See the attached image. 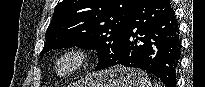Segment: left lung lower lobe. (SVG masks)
I'll return each mask as SVG.
<instances>
[{"label":"left lung lower lobe","instance_id":"left-lung-lower-lobe-1","mask_svg":"<svg viewBox=\"0 0 205 87\" xmlns=\"http://www.w3.org/2000/svg\"><path fill=\"white\" fill-rule=\"evenodd\" d=\"M181 42L169 0H138L115 57L101 70L115 65L136 67L158 77L166 87L176 86Z\"/></svg>","mask_w":205,"mask_h":87}]
</instances>
